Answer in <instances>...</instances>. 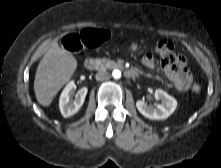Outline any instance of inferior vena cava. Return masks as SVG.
Instances as JSON below:
<instances>
[{
    "instance_id": "obj_1",
    "label": "inferior vena cava",
    "mask_w": 221,
    "mask_h": 168,
    "mask_svg": "<svg viewBox=\"0 0 221 168\" xmlns=\"http://www.w3.org/2000/svg\"><path fill=\"white\" fill-rule=\"evenodd\" d=\"M95 78L97 81H103L109 78V74L105 70H100L96 73Z\"/></svg>"
}]
</instances>
